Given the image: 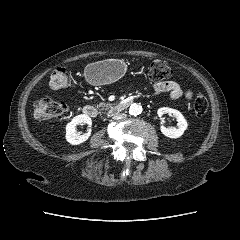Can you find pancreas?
<instances>
[{
	"label": "pancreas",
	"mask_w": 240,
	"mask_h": 240,
	"mask_svg": "<svg viewBox=\"0 0 240 240\" xmlns=\"http://www.w3.org/2000/svg\"><path fill=\"white\" fill-rule=\"evenodd\" d=\"M97 107H101L102 108V110H106V109H108L109 107H110V104H106V103H103V102H100L98 105H97Z\"/></svg>",
	"instance_id": "cf45deb5"
}]
</instances>
